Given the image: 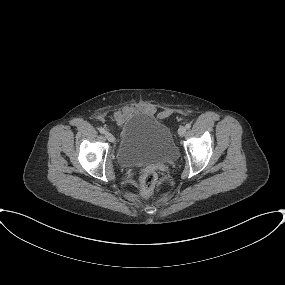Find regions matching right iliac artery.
<instances>
[{
    "label": "right iliac artery",
    "instance_id": "right-iliac-artery-1",
    "mask_svg": "<svg viewBox=\"0 0 285 285\" xmlns=\"http://www.w3.org/2000/svg\"><path fill=\"white\" fill-rule=\"evenodd\" d=\"M100 133L105 134L106 130L104 128L99 129Z\"/></svg>",
    "mask_w": 285,
    "mask_h": 285
}]
</instances>
